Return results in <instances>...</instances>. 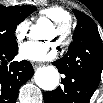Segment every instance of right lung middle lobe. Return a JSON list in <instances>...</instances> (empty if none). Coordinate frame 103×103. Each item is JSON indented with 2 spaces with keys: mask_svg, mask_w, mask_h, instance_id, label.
Masks as SVG:
<instances>
[{
  "mask_svg": "<svg viewBox=\"0 0 103 103\" xmlns=\"http://www.w3.org/2000/svg\"><path fill=\"white\" fill-rule=\"evenodd\" d=\"M36 10L34 6H26L23 11H10L0 6V50L10 51L18 48L14 36L17 25Z\"/></svg>",
  "mask_w": 103,
  "mask_h": 103,
  "instance_id": "dd1d6c3e",
  "label": "right lung middle lobe"
}]
</instances>
